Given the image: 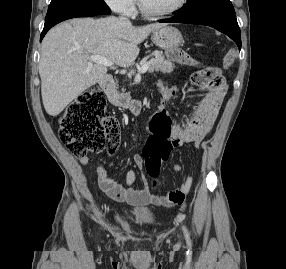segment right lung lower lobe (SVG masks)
Returning a JSON list of instances; mask_svg holds the SVG:
<instances>
[{"mask_svg":"<svg viewBox=\"0 0 286 269\" xmlns=\"http://www.w3.org/2000/svg\"><path fill=\"white\" fill-rule=\"evenodd\" d=\"M88 16H92V15H81V16H77V17H88ZM73 18H75V17H73ZM62 21H64V20H62ZM62 21H58V22L52 23L50 25H44V29H43V31L41 33L40 41L43 39V37L45 36V34L48 32V30L50 28H52L54 25H56L57 23L62 22Z\"/></svg>","mask_w":286,"mask_h":269,"instance_id":"obj_1","label":"right lung lower lobe"}]
</instances>
